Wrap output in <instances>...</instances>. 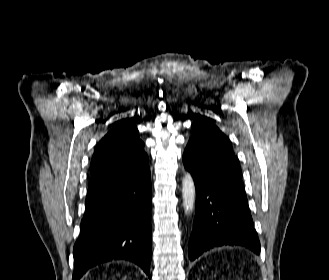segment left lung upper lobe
<instances>
[{
	"label": "left lung upper lobe",
	"instance_id": "1",
	"mask_svg": "<svg viewBox=\"0 0 329 280\" xmlns=\"http://www.w3.org/2000/svg\"><path fill=\"white\" fill-rule=\"evenodd\" d=\"M183 161L207 182L224 180L225 163L239 166L229 140L205 117H198L192 124V136Z\"/></svg>",
	"mask_w": 329,
	"mask_h": 280
}]
</instances>
